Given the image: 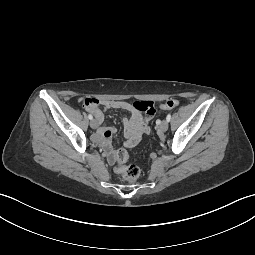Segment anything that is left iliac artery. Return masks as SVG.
Returning a JSON list of instances; mask_svg holds the SVG:
<instances>
[{
	"instance_id": "1",
	"label": "left iliac artery",
	"mask_w": 255,
	"mask_h": 255,
	"mask_svg": "<svg viewBox=\"0 0 255 255\" xmlns=\"http://www.w3.org/2000/svg\"><path fill=\"white\" fill-rule=\"evenodd\" d=\"M170 119H171V114L169 113V114L167 115V117H166V120L169 122Z\"/></svg>"
}]
</instances>
